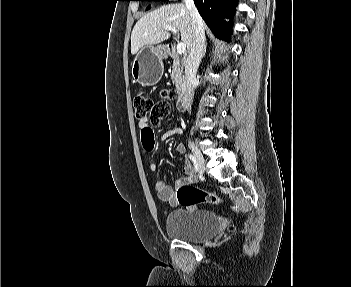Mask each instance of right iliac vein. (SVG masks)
Here are the masks:
<instances>
[{
    "instance_id": "right-iliac-vein-1",
    "label": "right iliac vein",
    "mask_w": 351,
    "mask_h": 287,
    "mask_svg": "<svg viewBox=\"0 0 351 287\" xmlns=\"http://www.w3.org/2000/svg\"><path fill=\"white\" fill-rule=\"evenodd\" d=\"M190 148H191V151L196 159V164L198 166V169L200 171V173H204L205 171V160H204V157L202 155V153L200 152V150L198 149V147L193 143V142H190Z\"/></svg>"
}]
</instances>
